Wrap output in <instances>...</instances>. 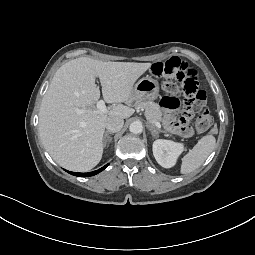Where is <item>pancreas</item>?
<instances>
[{
  "label": "pancreas",
  "mask_w": 255,
  "mask_h": 255,
  "mask_svg": "<svg viewBox=\"0 0 255 255\" xmlns=\"http://www.w3.org/2000/svg\"><path fill=\"white\" fill-rule=\"evenodd\" d=\"M135 107L145 111V116L151 124H154L155 121H162V112L157 103L152 101H136Z\"/></svg>",
  "instance_id": "1"
}]
</instances>
